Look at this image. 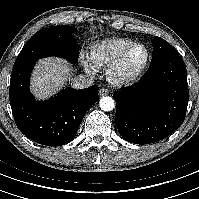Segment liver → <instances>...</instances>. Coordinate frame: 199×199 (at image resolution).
<instances>
[{
    "mask_svg": "<svg viewBox=\"0 0 199 199\" xmlns=\"http://www.w3.org/2000/svg\"><path fill=\"white\" fill-rule=\"evenodd\" d=\"M72 70L67 61L58 57L39 60L33 71L31 92L39 100L49 98L70 79Z\"/></svg>",
    "mask_w": 199,
    "mask_h": 199,
    "instance_id": "1",
    "label": "liver"
}]
</instances>
